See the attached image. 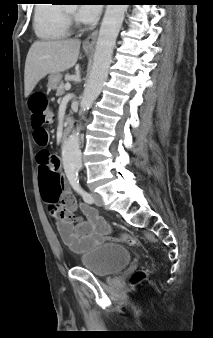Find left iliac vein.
<instances>
[{
    "instance_id": "1",
    "label": "left iliac vein",
    "mask_w": 213,
    "mask_h": 338,
    "mask_svg": "<svg viewBox=\"0 0 213 338\" xmlns=\"http://www.w3.org/2000/svg\"><path fill=\"white\" fill-rule=\"evenodd\" d=\"M93 198H94V203L97 206H103V199L100 194L98 193H92Z\"/></svg>"
}]
</instances>
